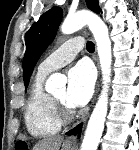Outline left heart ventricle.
<instances>
[{
  "label": "left heart ventricle",
  "mask_w": 139,
  "mask_h": 150,
  "mask_svg": "<svg viewBox=\"0 0 139 150\" xmlns=\"http://www.w3.org/2000/svg\"><path fill=\"white\" fill-rule=\"evenodd\" d=\"M53 97L59 100L60 102L66 104L67 106H69L66 102V90L64 88L55 92L53 94Z\"/></svg>",
  "instance_id": "left-heart-ventricle-1"
}]
</instances>
